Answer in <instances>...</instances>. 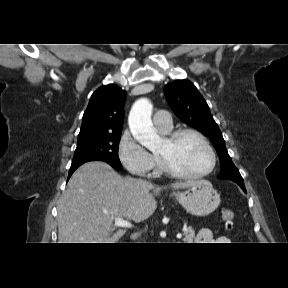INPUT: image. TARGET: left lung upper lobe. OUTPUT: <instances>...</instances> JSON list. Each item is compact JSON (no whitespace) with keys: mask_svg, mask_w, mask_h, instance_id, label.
Returning <instances> with one entry per match:
<instances>
[{"mask_svg":"<svg viewBox=\"0 0 288 288\" xmlns=\"http://www.w3.org/2000/svg\"><path fill=\"white\" fill-rule=\"evenodd\" d=\"M166 99L174 113L185 123L208 136L220 158L221 171L218 178L244 186L243 178L233 164L225 141L214 121L203 96L189 80H177L164 87Z\"/></svg>","mask_w":288,"mask_h":288,"instance_id":"1","label":"left lung upper lobe"}]
</instances>
